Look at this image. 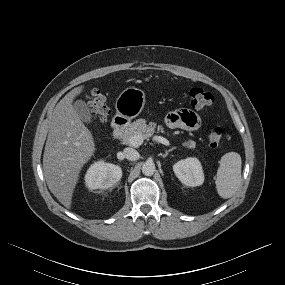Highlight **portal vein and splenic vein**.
I'll return each mask as SVG.
<instances>
[{
  "mask_svg": "<svg viewBox=\"0 0 285 285\" xmlns=\"http://www.w3.org/2000/svg\"><path fill=\"white\" fill-rule=\"evenodd\" d=\"M153 139L156 142L164 144L166 146L170 145V142L161 136H154ZM143 141H144V138L141 135H135L129 139V144L133 147H139L143 144Z\"/></svg>",
  "mask_w": 285,
  "mask_h": 285,
  "instance_id": "obj_1",
  "label": "portal vein and splenic vein"
}]
</instances>
